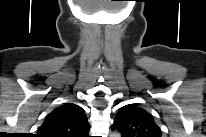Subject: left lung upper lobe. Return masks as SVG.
I'll use <instances>...</instances> for the list:
<instances>
[{"instance_id": "5c2ea615", "label": "left lung upper lobe", "mask_w": 206, "mask_h": 137, "mask_svg": "<svg viewBox=\"0 0 206 137\" xmlns=\"http://www.w3.org/2000/svg\"><path fill=\"white\" fill-rule=\"evenodd\" d=\"M121 132L122 137H161V130L153 116L135 104L122 107L112 125Z\"/></svg>"}]
</instances>
